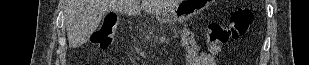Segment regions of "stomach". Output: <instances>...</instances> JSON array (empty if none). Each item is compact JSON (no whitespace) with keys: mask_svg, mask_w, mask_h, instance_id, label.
I'll use <instances>...</instances> for the list:
<instances>
[{"mask_svg":"<svg viewBox=\"0 0 309 65\" xmlns=\"http://www.w3.org/2000/svg\"><path fill=\"white\" fill-rule=\"evenodd\" d=\"M212 2L213 0H180L174 8L157 14L156 19L168 23H183L201 13Z\"/></svg>","mask_w":309,"mask_h":65,"instance_id":"1","label":"stomach"}]
</instances>
